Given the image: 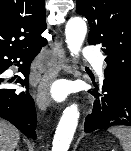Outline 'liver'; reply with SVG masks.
I'll list each match as a JSON object with an SVG mask.
<instances>
[{"label": "liver", "instance_id": "6515ba94", "mask_svg": "<svg viewBox=\"0 0 131 151\" xmlns=\"http://www.w3.org/2000/svg\"><path fill=\"white\" fill-rule=\"evenodd\" d=\"M20 135L10 123L0 120V151H14Z\"/></svg>", "mask_w": 131, "mask_h": 151}]
</instances>
